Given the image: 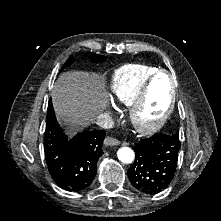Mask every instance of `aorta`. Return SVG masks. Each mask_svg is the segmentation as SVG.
Returning a JSON list of instances; mask_svg holds the SVG:
<instances>
[{
	"label": "aorta",
	"mask_w": 221,
	"mask_h": 221,
	"mask_svg": "<svg viewBox=\"0 0 221 221\" xmlns=\"http://www.w3.org/2000/svg\"><path fill=\"white\" fill-rule=\"evenodd\" d=\"M117 156L121 162L126 163V164L131 163L135 158V154L133 150L129 147L120 148L117 152Z\"/></svg>",
	"instance_id": "1"
}]
</instances>
